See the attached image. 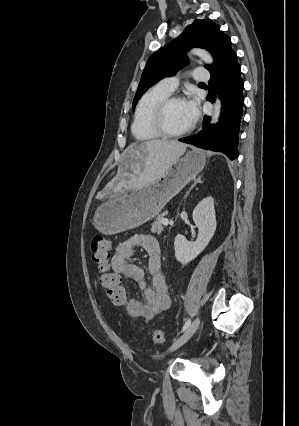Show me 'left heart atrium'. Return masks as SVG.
Here are the masks:
<instances>
[{"mask_svg":"<svg viewBox=\"0 0 299 426\" xmlns=\"http://www.w3.org/2000/svg\"><path fill=\"white\" fill-rule=\"evenodd\" d=\"M190 122L196 121L198 117V106L195 100L190 99L184 102Z\"/></svg>","mask_w":299,"mask_h":426,"instance_id":"39dd6f15","label":"left heart atrium"}]
</instances>
